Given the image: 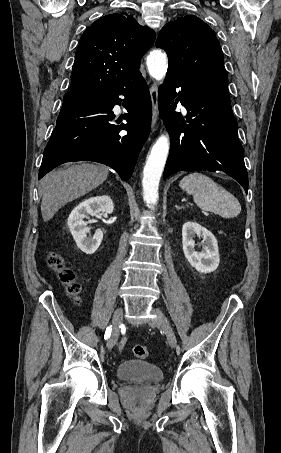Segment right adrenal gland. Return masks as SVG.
Segmentation results:
<instances>
[{
    "label": "right adrenal gland",
    "mask_w": 281,
    "mask_h": 453,
    "mask_svg": "<svg viewBox=\"0 0 281 453\" xmlns=\"http://www.w3.org/2000/svg\"><path fill=\"white\" fill-rule=\"evenodd\" d=\"M108 182H109V184H111V186H112V182H110V180H108Z\"/></svg>",
    "instance_id": "1"
}]
</instances>
